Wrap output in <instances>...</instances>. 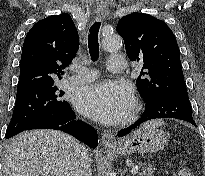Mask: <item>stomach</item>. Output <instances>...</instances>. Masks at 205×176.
Wrapping results in <instances>:
<instances>
[{"instance_id": "0dacf381", "label": "stomach", "mask_w": 205, "mask_h": 176, "mask_svg": "<svg viewBox=\"0 0 205 176\" xmlns=\"http://www.w3.org/2000/svg\"><path fill=\"white\" fill-rule=\"evenodd\" d=\"M167 143L168 135L164 131L146 123L113 145L110 150L120 155L148 153L164 149Z\"/></svg>"}]
</instances>
